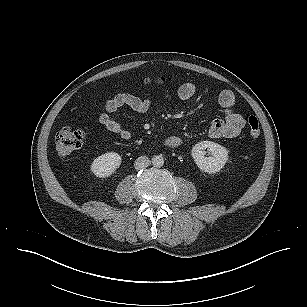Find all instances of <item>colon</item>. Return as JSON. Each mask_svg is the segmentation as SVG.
Wrapping results in <instances>:
<instances>
[{
  "mask_svg": "<svg viewBox=\"0 0 307 307\" xmlns=\"http://www.w3.org/2000/svg\"><path fill=\"white\" fill-rule=\"evenodd\" d=\"M169 80L162 78L157 81L158 84L168 83ZM248 134L252 139H258L260 136L259 120L256 116H249L247 120ZM85 133L81 129L72 126H64L59 130L56 136L55 150L59 157H66L73 151L79 149L84 141Z\"/></svg>",
  "mask_w": 307,
  "mask_h": 307,
  "instance_id": "1",
  "label": "colon"
}]
</instances>
